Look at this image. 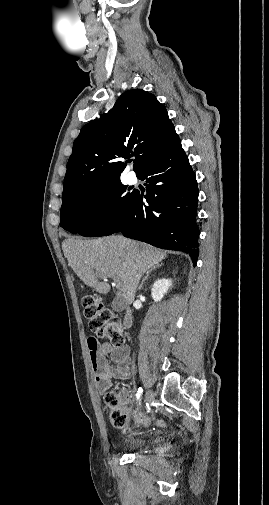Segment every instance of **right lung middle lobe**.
<instances>
[{
    "instance_id": "right-lung-middle-lobe-1",
    "label": "right lung middle lobe",
    "mask_w": 269,
    "mask_h": 505,
    "mask_svg": "<svg viewBox=\"0 0 269 505\" xmlns=\"http://www.w3.org/2000/svg\"><path fill=\"white\" fill-rule=\"evenodd\" d=\"M120 180L87 189L63 201L60 226L71 233L98 237L110 235L121 224L135 192Z\"/></svg>"
}]
</instances>
